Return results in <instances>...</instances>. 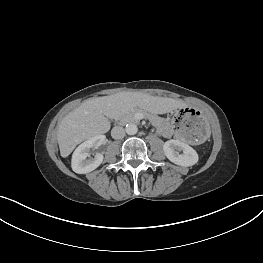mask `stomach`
Listing matches in <instances>:
<instances>
[{
	"label": "stomach",
	"mask_w": 263,
	"mask_h": 263,
	"mask_svg": "<svg viewBox=\"0 0 263 263\" xmlns=\"http://www.w3.org/2000/svg\"><path fill=\"white\" fill-rule=\"evenodd\" d=\"M173 133L189 145L205 143L211 134L209 118L195 107H182L171 118Z\"/></svg>",
	"instance_id": "stomach-1"
}]
</instances>
